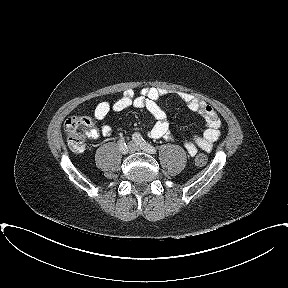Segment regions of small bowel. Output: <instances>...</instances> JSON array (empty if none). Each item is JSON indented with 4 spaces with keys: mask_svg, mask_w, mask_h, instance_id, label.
<instances>
[{
    "mask_svg": "<svg viewBox=\"0 0 288 288\" xmlns=\"http://www.w3.org/2000/svg\"><path fill=\"white\" fill-rule=\"evenodd\" d=\"M167 94L163 88L146 87L136 93L133 89L123 91L120 98L110 103L100 102L95 110L94 116L98 120H103L111 111L121 112L128 108L146 109L155 119L156 123L149 131V136L153 139H164L166 141H175V136L169 128V122L166 112L161 108L159 101ZM179 97L186 104L188 109L198 113L204 120L205 131L201 135H191L185 141L186 151L190 156H194L198 149L211 151L213 145L220 138L221 121L215 109L205 101L188 93H181ZM113 134L110 125L102 123L91 132V137H108Z\"/></svg>",
    "mask_w": 288,
    "mask_h": 288,
    "instance_id": "1",
    "label": "small bowel"
}]
</instances>
